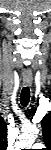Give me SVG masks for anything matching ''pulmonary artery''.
<instances>
[{
    "instance_id": "pulmonary-artery-1",
    "label": "pulmonary artery",
    "mask_w": 51,
    "mask_h": 150,
    "mask_svg": "<svg viewBox=\"0 0 51 150\" xmlns=\"http://www.w3.org/2000/svg\"><path fill=\"white\" fill-rule=\"evenodd\" d=\"M41 147V144H34L33 148Z\"/></svg>"
}]
</instances>
